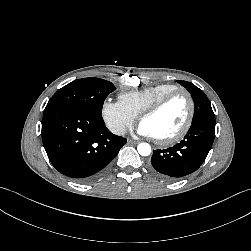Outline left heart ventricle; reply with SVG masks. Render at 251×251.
<instances>
[{"label":"left heart ventricle","mask_w":251,"mask_h":251,"mask_svg":"<svg viewBox=\"0 0 251 251\" xmlns=\"http://www.w3.org/2000/svg\"><path fill=\"white\" fill-rule=\"evenodd\" d=\"M188 102L182 95L170 100L160 111L142 120L154 138H166L177 131L185 123L188 115Z\"/></svg>","instance_id":"b2bd125f"}]
</instances>
